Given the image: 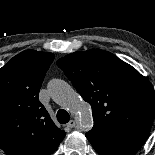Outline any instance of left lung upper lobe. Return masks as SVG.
I'll list each match as a JSON object with an SVG mask.
<instances>
[{
    "mask_svg": "<svg viewBox=\"0 0 155 155\" xmlns=\"http://www.w3.org/2000/svg\"><path fill=\"white\" fill-rule=\"evenodd\" d=\"M57 65L92 107V131L151 127L155 95L151 83L114 54L91 49L60 58Z\"/></svg>",
    "mask_w": 155,
    "mask_h": 155,
    "instance_id": "5c2ea615",
    "label": "left lung upper lobe"
}]
</instances>
